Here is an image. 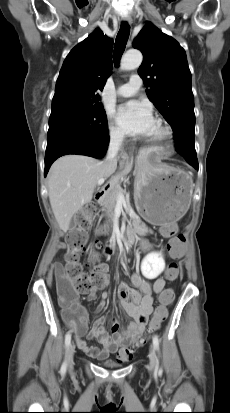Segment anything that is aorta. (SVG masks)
<instances>
[{
  "label": "aorta",
  "instance_id": "762f6f07",
  "mask_svg": "<svg viewBox=\"0 0 230 413\" xmlns=\"http://www.w3.org/2000/svg\"><path fill=\"white\" fill-rule=\"evenodd\" d=\"M142 54L138 50H129L125 53L121 60L120 67L122 70H132L140 66L142 62Z\"/></svg>",
  "mask_w": 230,
  "mask_h": 413
}]
</instances>
